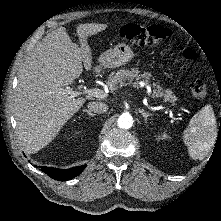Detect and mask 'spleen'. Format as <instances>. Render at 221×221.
I'll return each instance as SVG.
<instances>
[{
  "label": "spleen",
  "instance_id": "obj_1",
  "mask_svg": "<svg viewBox=\"0 0 221 221\" xmlns=\"http://www.w3.org/2000/svg\"><path fill=\"white\" fill-rule=\"evenodd\" d=\"M217 122L212 107L204 106L190 120L183 141L192 159H204L212 150L217 138Z\"/></svg>",
  "mask_w": 221,
  "mask_h": 221
}]
</instances>
